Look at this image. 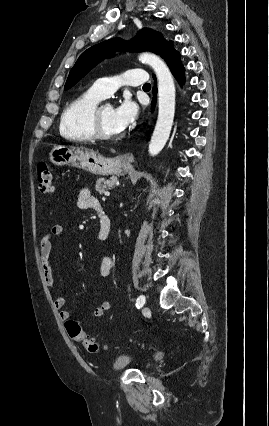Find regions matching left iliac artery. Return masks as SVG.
<instances>
[{"mask_svg": "<svg viewBox=\"0 0 269 426\" xmlns=\"http://www.w3.org/2000/svg\"><path fill=\"white\" fill-rule=\"evenodd\" d=\"M145 304V296L141 295L136 300V307L141 308Z\"/></svg>", "mask_w": 269, "mask_h": 426, "instance_id": "left-iliac-artery-1", "label": "left iliac artery"}]
</instances>
